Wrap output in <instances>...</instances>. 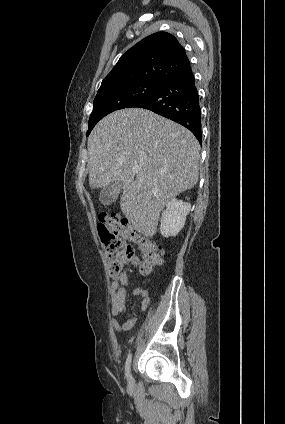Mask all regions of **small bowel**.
Segmentation results:
<instances>
[{"label":"small bowel","instance_id":"c3829d8e","mask_svg":"<svg viewBox=\"0 0 285 424\" xmlns=\"http://www.w3.org/2000/svg\"><path fill=\"white\" fill-rule=\"evenodd\" d=\"M128 278L126 272H122L112 283L111 286V303L112 315H125L127 319L120 326L117 322H113V328L116 333L126 332L132 329L135 323V316L129 314L126 299H127ZM134 295L139 299L140 306L146 310L150 305V298L148 293L143 288H136Z\"/></svg>","mask_w":285,"mask_h":424}]
</instances>
